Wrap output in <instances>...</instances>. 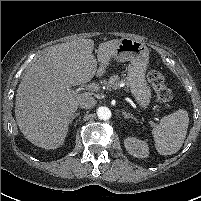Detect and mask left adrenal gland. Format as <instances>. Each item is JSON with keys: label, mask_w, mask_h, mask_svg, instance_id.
Listing matches in <instances>:
<instances>
[{"label": "left adrenal gland", "mask_w": 201, "mask_h": 201, "mask_svg": "<svg viewBox=\"0 0 201 201\" xmlns=\"http://www.w3.org/2000/svg\"><path fill=\"white\" fill-rule=\"evenodd\" d=\"M122 114L125 119L131 118V119L135 120L136 122H138V120L132 114L127 113L124 109L122 110Z\"/></svg>", "instance_id": "a2214340"}]
</instances>
